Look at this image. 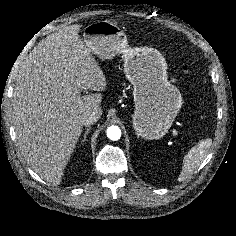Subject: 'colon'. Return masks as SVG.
Segmentation results:
<instances>
[{
    "label": "colon",
    "instance_id": "obj_1",
    "mask_svg": "<svg viewBox=\"0 0 236 236\" xmlns=\"http://www.w3.org/2000/svg\"><path fill=\"white\" fill-rule=\"evenodd\" d=\"M182 70L185 74H188L190 72V67L189 65L185 64L183 67H182Z\"/></svg>",
    "mask_w": 236,
    "mask_h": 236
}]
</instances>
